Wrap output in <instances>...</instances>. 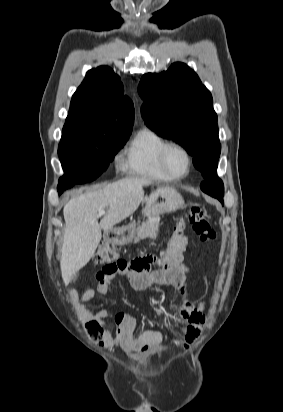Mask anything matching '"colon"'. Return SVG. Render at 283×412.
Listing matches in <instances>:
<instances>
[{"mask_svg": "<svg viewBox=\"0 0 283 412\" xmlns=\"http://www.w3.org/2000/svg\"><path fill=\"white\" fill-rule=\"evenodd\" d=\"M186 221L192 225L194 232L202 241L207 242L215 239L216 233L211 226L207 214L201 207L192 206L187 213ZM183 227L184 221H181L169 238L165 251L159 256L154 255L153 257L148 255L131 261L115 260L113 249L106 244L100 245L93 258L95 265L101 267L98 276L115 275L127 269L149 273L154 268H166L167 264L178 256L185 246L186 241ZM85 329L89 337L94 341L99 340L103 333V327L96 322H87Z\"/></svg>", "mask_w": 283, "mask_h": 412, "instance_id": "colon-1", "label": "colon"}]
</instances>
